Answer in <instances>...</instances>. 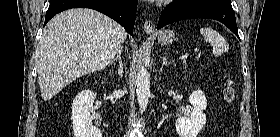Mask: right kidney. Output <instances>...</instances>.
<instances>
[{
	"label": "right kidney",
	"instance_id": "right-kidney-1",
	"mask_svg": "<svg viewBox=\"0 0 280 137\" xmlns=\"http://www.w3.org/2000/svg\"><path fill=\"white\" fill-rule=\"evenodd\" d=\"M95 95L90 90L80 92L72 103V124L75 137H102L99 129L92 125L90 109Z\"/></svg>",
	"mask_w": 280,
	"mask_h": 137
}]
</instances>
